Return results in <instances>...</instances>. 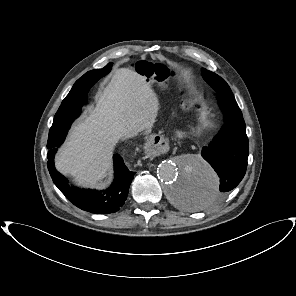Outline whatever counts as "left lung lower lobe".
<instances>
[{"label":"left lung lower lobe","instance_id":"0a47b994","mask_svg":"<svg viewBox=\"0 0 296 296\" xmlns=\"http://www.w3.org/2000/svg\"><path fill=\"white\" fill-rule=\"evenodd\" d=\"M219 105L225 124L201 152L220 178L219 190L202 193L185 177L177 189V200L184 208L202 209L213 204L234 189L245 175L249 148L242 112L235 98L219 99Z\"/></svg>","mask_w":296,"mask_h":296}]
</instances>
